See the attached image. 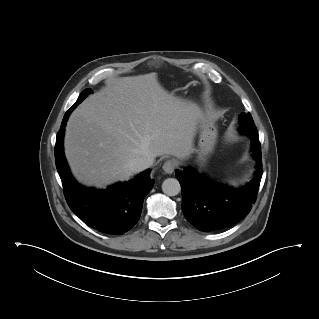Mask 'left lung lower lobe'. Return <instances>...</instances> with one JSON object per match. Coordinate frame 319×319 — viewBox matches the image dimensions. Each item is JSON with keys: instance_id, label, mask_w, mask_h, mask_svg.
<instances>
[{"instance_id": "0a47b994", "label": "left lung lower lobe", "mask_w": 319, "mask_h": 319, "mask_svg": "<svg viewBox=\"0 0 319 319\" xmlns=\"http://www.w3.org/2000/svg\"><path fill=\"white\" fill-rule=\"evenodd\" d=\"M239 131L252 140L258 171L252 180L238 189L206 180L194 169L176 171L182 188V210L185 218L198 230L208 232L230 227L251 210L259 189L262 171L261 146L256 128L240 126Z\"/></svg>"}]
</instances>
